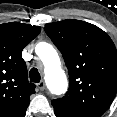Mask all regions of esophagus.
Segmentation results:
<instances>
[{
  "label": "esophagus",
  "mask_w": 117,
  "mask_h": 117,
  "mask_svg": "<svg viewBox=\"0 0 117 117\" xmlns=\"http://www.w3.org/2000/svg\"><path fill=\"white\" fill-rule=\"evenodd\" d=\"M37 87H38L39 90H41V91L45 90V82H44V81H40V82L37 84Z\"/></svg>",
  "instance_id": "esophagus-1"
}]
</instances>
